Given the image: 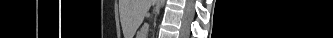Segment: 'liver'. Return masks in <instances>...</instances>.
Wrapping results in <instances>:
<instances>
[{
  "label": "liver",
  "instance_id": "obj_1",
  "mask_svg": "<svg viewBox=\"0 0 333 38\" xmlns=\"http://www.w3.org/2000/svg\"><path fill=\"white\" fill-rule=\"evenodd\" d=\"M128 3L133 4V19L137 27L143 21L146 12L151 5L155 3V0H135V2H125L123 7Z\"/></svg>",
  "mask_w": 333,
  "mask_h": 38
}]
</instances>
